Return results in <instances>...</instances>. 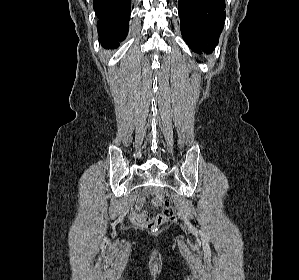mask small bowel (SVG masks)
Returning <instances> with one entry per match:
<instances>
[{
	"label": "small bowel",
	"instance_id": "1",
	"mask_svg": "<svg viewBox=\"0 0 299 280\" xmlns=\"http://www.w3.org/2000/svg\"><path fill=\"white\" fill-rule=\"evenodd\" d=\"M145 202L144 197H140L136 202V210L131 213V219L141 225H147L149 218L147 217L146 212L141 211V208Z\"/></svg>",
	"mask_w": 299,
	"mask_h": 280
}]
</instances>
